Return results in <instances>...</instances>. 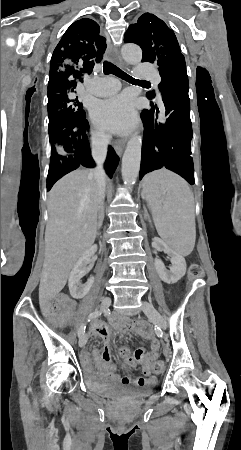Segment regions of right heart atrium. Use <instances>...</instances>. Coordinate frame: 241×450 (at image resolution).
I'll return each instance as SVG.
<instances>
[{"mask_svg": "<svg viewBox=\"0 0 241 450\" xmlns=\"http://www.w3.org/2000/svg\"><path fill=\"white\" fill-rule=\"evenodd\" d=\"M90 134L92 137L93 144L96 146L94 148V153L96 155H109L110 147L104 146L108 141L107 136L103 132L96 130L94 128L90 130Z\"/></svg>", "mask_w": 241, "mask_h": 450, "instance_id": "obj_1", "label": "right heart atrium"}]
</instances>
